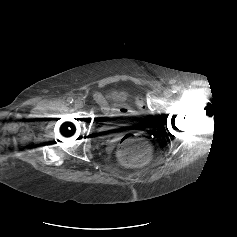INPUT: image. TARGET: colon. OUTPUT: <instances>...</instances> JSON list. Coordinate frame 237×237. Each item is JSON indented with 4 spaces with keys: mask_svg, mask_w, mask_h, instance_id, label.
Listing matches in <instances>:
<instances>
[{
    "mask_svg": "<svg viewBox=\"0 0 237 237\" xmlns=\"http://www.w3.org/2000/svg\"><path fill=\"white\" fill-rule=\"evenodd\" d=\"M118 155L125 164L139 165L149 159L150 148L146 139L140 134H127L120 142Z\"/></svg>",
    "mask_w": 237,
    "mask_h": 237,
    "instance_id": "5ec220e1",
    "label": "colon"
}]
</instances>
